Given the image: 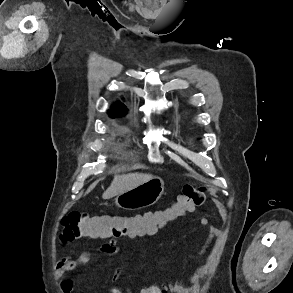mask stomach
<instances>
[{"label":"stomach","instance_id":"0dacf381","mask_svg":"<svg viewBox=\"0 0 293 293\" xmlns=\"http://www.w3.org/2000/svg\"><path fill=\"white\" fill-rule=\"evenodd\" d=\"M164 192V181L160 177H152L148 181L118 194L115 198L117 207L125 210H138L154 205Z\"/></svg>","mask_w":293,"mask_h":293}]
</instances>
